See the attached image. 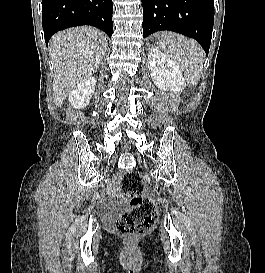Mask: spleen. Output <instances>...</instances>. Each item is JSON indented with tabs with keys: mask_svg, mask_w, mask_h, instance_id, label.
<instances>
[{
	"mask_svg": "<svg viewBox=\"0 0 265 273\" xmlns=\"http://www.w3.org/2000/svg\"><path fill=\"white\" fill-rule=\"evenodd\" d=\"M159 47L184 72L190 85L199 83L204 55L196 41L176 33L165 32L159 37Z\"/></svg>",
	"mask_w": 265,
	"mask_h": 273,
	"instance_id": "1",
	"label": "spleen"
}]
</instances>
